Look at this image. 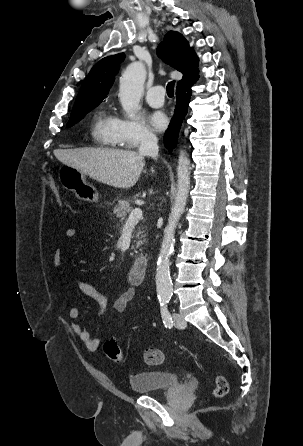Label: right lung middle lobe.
Returning a JSON list of instances; mask_svg holds the SVG:
<instances>
[{"instance_id": "dd1d6c3e", "label": "right lung middle lobe", "mask_w": 303, "mask_h": 446, "mask_svg": "<svg viewBox=\"0 0 303 446\" xmlns=\"http://www.w3.org/2000/svg\"><path fill=\"white\" fill-rule=\"evenodd\" d=\"M98 105L88 106L85 108L77 109L75 111H72L70 119L67 123V127L73 126L75 123H77L79 120H81L86 113L94 109Z\"/></svg>"}]
</instances>
